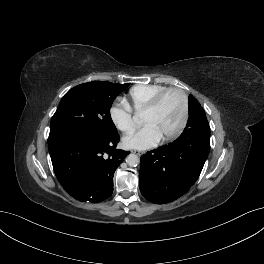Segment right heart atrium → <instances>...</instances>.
<instances>
[{
  "label": "right heart atrium",
  "mask_w": 264,
  "mask_h": 264,
  "mask_svg": "<svg viewBox=\"0 0 264 264\" xmlns=\"http://www.w3.org/2000/svg\"><path fill=\"white\" fill-rule=\"evenodd\" d=\"M113 125L121 132L128 133L134 127L133 111L126 103H115L109 110Z\"/></svg>",
  "instance_id": "right-heart-atrium-1"
}]
</instances>
